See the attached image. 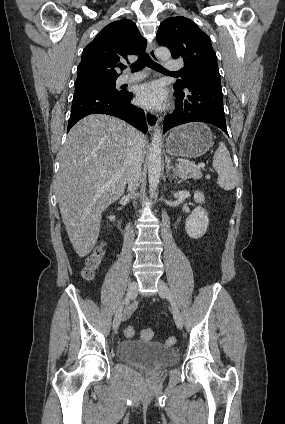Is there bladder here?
<instances>
[{"label":"bladder","mask_w":285,"mask_h":424,"mask_svg":"<svg viewBox=\"0 0 285 424\" xmlns=\"http://www.w3.org/2000/svg\"><path fill=\"white\" fill-rule=\"evenodd\" d=\"M118 357L132 365L159 369L177 362L178 353L157 342L130 339L119 344Z\"/></svg>","instance_id":"1"}]
</instances>
